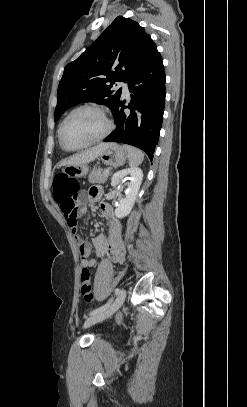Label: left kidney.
<instances>
[{"mask_svg":"<svg viewBox=\"0 0 247 407\" xmlns=\"http://www.w3.org/2000/svg\"><path fill=\"white\" fill-rule=\"evenodd\" d=\"M124 178L130 180V182L127 184L128 188L125 190L124 197L119 199V205L115 209V215L118 218H123L131 212L143 180L142 170L133 167L116 172L112 176L111 186H118Z\"/></svg>","mask_w":247,"mask_h":407,"instance_id":"1","label":"left kidney"}]
</instances>
